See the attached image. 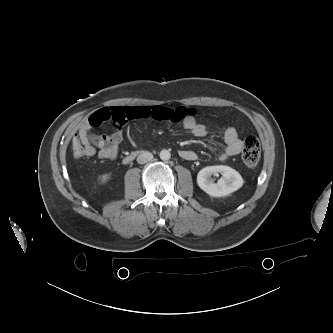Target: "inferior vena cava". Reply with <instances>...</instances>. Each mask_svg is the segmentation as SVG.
Wrapping results in <instances>:
<instances>
[{
  "instance_id": "602c4592",
  "label": "inferior vena cava",
  "mask_w": 333,
  "mask_h": 333,
  "mask_svg": "<svg viewBox=\"0 0 333 333\" xmlns=\"http://www.w3.org/2000/svg\"><path fill=\"white\" fill-rule=\"evenodd\" d=\"M153 159L152 153L148 151L142 152L138 157H137V162L139 164H145Z\"/></svg>"
}]
</instances>
